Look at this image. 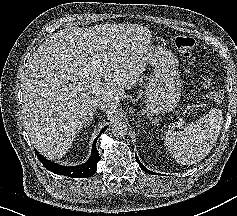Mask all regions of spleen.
<instances>
[{
	"label": "spleen",
	"mask_w": 237,
	"mask_h": 216,
	"mask_svg": "<svg viewBox=\"0 0 237 216\" xmlns=\"http://www.w3.org/2000/svg\"><path fill=\"white\" fill-rule=\"evenodd\" d=\"M217 125L211 126L207 117L190 123L182 131H170L164 145L177 159L186 161L202 159L218 138Z\"/></svg>",
	"instance_id": "obj_1"
}]
</instances>
